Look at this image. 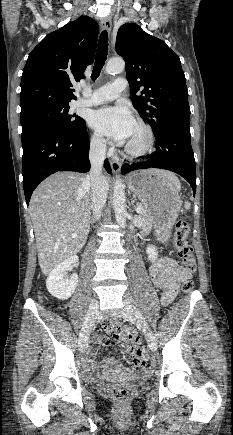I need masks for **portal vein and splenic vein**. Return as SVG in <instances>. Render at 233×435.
I'll list each match as a JSON object with an SVG mask.
<instances>
[{"instance_id":"portal-vein-and-splenic-vein-1","label":"portal vein and splenic vein","mask_w":233,"mask_h":435,"mask_svg":"<svg viewBox=\"0 0 233 435\" xmlns=\"http://www.w3.org/2000/svg\"><path fill=\"white\" fill-rule=\"evenodd\" d=\"M136 211H137V213L139 214V213H140V211H141V208H140V207H138V208L136 209ZM71 237H72V238H76V237H77V234H76V233H74V234H72V235H71Z\"/></svg>"}]
</instances>
